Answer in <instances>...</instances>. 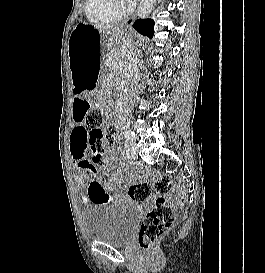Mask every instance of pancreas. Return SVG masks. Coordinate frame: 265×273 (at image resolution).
I'll return each mask as SVG.
<instances>
[{"mask_svg":"<svg viewBox=\"0 0 265 273\" xmlns=\"http://www.w3.org/2000/svg\"><path fill=\"white\" fill-rule=\"evenodd\" d=\"M130 51L131 50L129 48H113L107 56L108 59L105 61L109 71L121 68L123 63L129 60V58H124V56Z\"/></svg>","mask_w":265,"mask_h":273,"instance_id":"cf45deb5","label":"pancreas"}]
</instances>
